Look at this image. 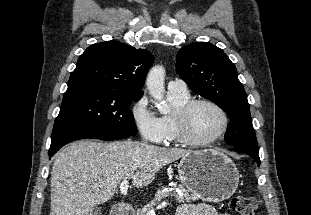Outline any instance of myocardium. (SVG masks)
I'll use <instances>...</instances> for the list:
<instances>
[{
  "instance_id": "myocardium-1",
  "label": "myocardium",
  "mask_w": 311,
  "mask_h": 215,
  "mask_svg": "<svg viewBox=\"0 0 311 215\" xmlns=\"http://www.w3.org/2000/svg\"><path fill=\"white\" fill-rule=\"evenodd\" d=\"M199 105H210L214 107L222 117V125L219 131L212 137L206 140H196L190 134V116L193 110ZM174 120L176 123L179 141L191 147H204L217 141L226 132L229 125V118L224 110L218 103L210 99H191L174 113Z\"/></svg>"
}]
</instances>
